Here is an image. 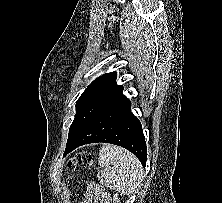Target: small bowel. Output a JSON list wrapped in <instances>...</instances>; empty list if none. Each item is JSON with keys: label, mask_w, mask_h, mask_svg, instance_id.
Here are the masks:
<instances>
[{"label": "small bowel", "mask_w": 222, "mask_h": 203, "mask_svg": "<svg viewBox=\"0 0 222 203\" xmlns=\"http://www.w3.org/2000/svg\"><path fill=\"white\" fill-rule=\"evenodd\" d=\"M85 203H110L109 195L98 186H90Z\"/></svg>", "instance_id": "c3829d8e"}]
</instances>
